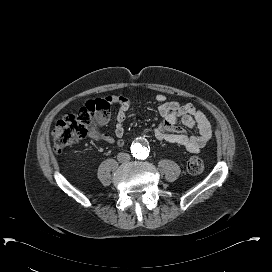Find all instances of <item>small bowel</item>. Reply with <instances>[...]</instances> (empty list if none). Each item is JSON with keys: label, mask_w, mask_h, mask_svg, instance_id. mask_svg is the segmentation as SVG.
Here are the masks:
<instances>
[{"label": "small bowel", "mask_w": 272, "mask_h": 272, "mask_svg": "<svg viewBox=\"0 0 272 272\" xmlns=\"http://www.w3.org/2000/svg\"><path fill=\"white\" fill-rule=\"evenodd\" d=\"M106 99L111 104L118 105L114 129L115 137L96 130L90 132V137L96 142L121 147L125 143L123 122L127 117V111L131 103L126 97L120 95H109ZM156 100L160 103L158 111L163 121L160 125L145 130V134H150L161 142L183 146L190 153H199L208 143L212 133V125L205 114L193 104L182 105L177 101H168L166 95L162 93L156 95ZM179 123L189 128L196 126L199 135L187 134L177 127Z\"/></svg>", "instance_id": "c3829d8e"}]
</instances>
